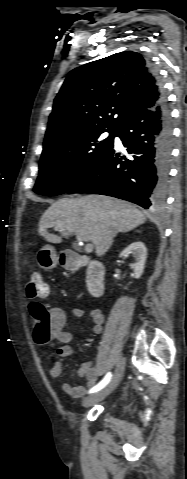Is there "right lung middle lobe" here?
<instances>
[{
	"label": "right lung middle lobe",
	"instance_id": "1",
	"mask_svg": "<svg viewBox=\"0 0 187 479\" xmlns=\"http://www.w3.org/2000/svg\"><path fill=\"white\" fill-rule=\"evenodd\" d=\"M116 135L117 129H93L44 146L34 192L48 196L67 192L113 147Z\"/></svg>",
	"mask_w": 187,
	"mask_h": 479
}]
</instances>
